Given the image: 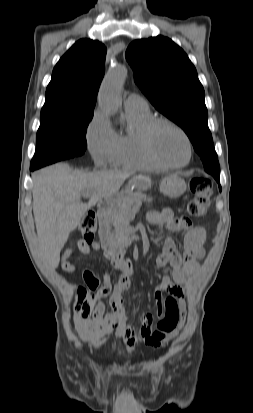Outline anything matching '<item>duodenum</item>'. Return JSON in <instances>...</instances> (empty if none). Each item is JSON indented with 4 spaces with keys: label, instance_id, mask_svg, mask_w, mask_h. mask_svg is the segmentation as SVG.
Instances as JSON below:
<instances>
[{
    "label": "duodenum",
    "instance_id": "obj_1",
    "mask_svg": "<svg viewBox=\"0 0 253 413\" xmlns=\"http://www.w3.org/2000/svg\"><path fill=\"white\" fill-rule=\"evenodd\" d=\"M110 209V204L107 201H102L98 205V213L102 217ZM99 235L103 243L105 253L112 258H121L124 253V248L116 244L110 235L107 225L101 222Z\"/></svg>",
    "mask_w": 253,
    "mask_h": 413
}]
</instances>
